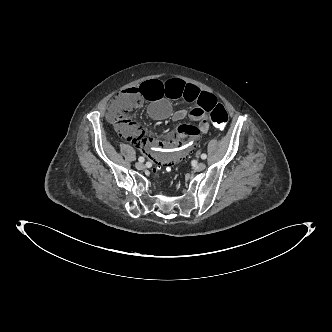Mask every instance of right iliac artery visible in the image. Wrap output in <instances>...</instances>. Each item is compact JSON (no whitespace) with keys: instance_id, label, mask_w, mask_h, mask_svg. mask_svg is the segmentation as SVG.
Here are the masks:
<instances>
[{"instance_id":"obj_1","label":"right iliac artery","mask_w":332,"mask_h":332,"mask_svg":"<svg viewBox=\"0 0 332 332\" xmlns=\"http://www.w3.org/2000/svg\"><path fill=\"white\" fill-rule=\"evenodd\" d=\"M138 160H139V162H144L145 161L144 157H142V156L139 157Z\"/></svg>"}]
</instances>
